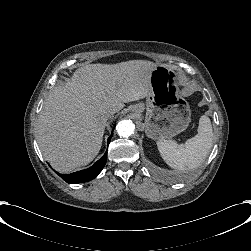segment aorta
<instances>
[{"label":"aorta","instance_id":"aorta-1","mask_svg":"<svg viewBox=\"0 0 251 251\" xmlns=\"http://www.w3.org/2000/svg\"><path fill=\"white\" fill-rule=\"evenodd\" d=\"M118 135L121 137H129L134 130V125L131 120H121L116 126Z\"/></svg>","mask_w":251,"mask_h":251}]
</instances>
